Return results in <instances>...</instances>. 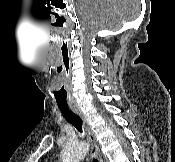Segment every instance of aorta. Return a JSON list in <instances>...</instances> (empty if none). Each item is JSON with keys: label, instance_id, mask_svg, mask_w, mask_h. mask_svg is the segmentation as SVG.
I'll list each match as a JSON object with an SVG mask.
<instances>
[{"label": "aorta", "instance_id": "1", "mask_svg": "<svg viewBox=\"0 0 175 162\" xmlns=\"http://www.w3.org/2000/svg\"><path fill=\"white\" fill-rule=\"evenodd\" d=\"M85 142H69L61 152L62 162H79L88 152Z\"/></svg>", "mask_w": 175, "mask_h": 162}]
</instances>
